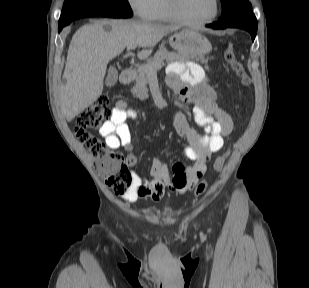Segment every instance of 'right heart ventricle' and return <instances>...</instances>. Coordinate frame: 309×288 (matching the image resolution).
Here are the masks:
<instances>
[{
	"label": "right heart ventricle",
	"mask_w": 309,
	"mask_h": 288,
	"mask_svg": "<svg viewBox=\"0 0 309 288\" xmlns=\"http://www.w3.org/2000/svg\"><path fill=\"white\" fill-rule=\"evenodd\" d=\"M150 19L158 22H175L168 0H156Z\"/></svg>",
	"instance_id": "e07e8e85"
}]
</instances>
